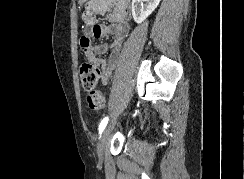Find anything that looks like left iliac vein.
<instances>
[{
	"label": "left iliac vein",
	"mask_w": 244,
	"mask_h": 179,
	"mask_svg": "<svg viewBox=\"0 0 244 179\" xmlns=\"http://www.w3.org/2000/svg\"><path fill=\"white\" fill-rule=\"evenodd\" d=\"M114 124L115 123L113 121L110 124H108V126L105 128V130L102 134L100 141L98 142V147H97L98 155L102 160L104 159V152H105L106 146L109 142L111 130H112V127L114 126Z\"/></svg>",
	"instance_id": "obj_1"
}]
</instances>
